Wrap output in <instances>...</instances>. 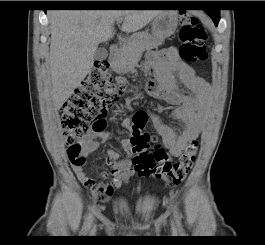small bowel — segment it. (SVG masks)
I'll use <instances>...</instances> for the list:
<instances>
[{"label": "small bowel", "mask_w": 265, "mask_h": 245, "mask_svg": "<svg viewBox=\"0 0 265 245\" xmlns=\"http://www.w3.org/2000/svg\"><path fill=\"white\" fill-rule=\"evenodd\" d=\"M144 68L153 77L146 85L148 94L152 98L177 105V109L168 118L181 124L180 134H177L173 127L167 123V118L152 111H148V115L151 125L161 136L165 147L172 156L178 157L188 143L198 137L203 128L199 114L206 105L211 86L196 74L193 67L181 59L179 51L175 47L149 51L144 59ZM178 81L185 86L188 93L184 94L179 91ZM123 126L132 132L130 119H124ZM97 138L118 139L114 134L107 132L105 128L101 131L92 130L83 142L85 156L98 150ZM121 144L127 153L126 156L122 157L114 149H109L107 152L108 163L112 166V171L111 173H102L101 178L104 180L111 178L108 184H103L90 177L83 167L74 166L78 180L83 186L92 190L95 195L111 197L124 182L134 175V171L130 167V157L133 152L131 139L124 138L121 140Z\"/></svg>", "instance_id": "obj_1"}]
</instances>
